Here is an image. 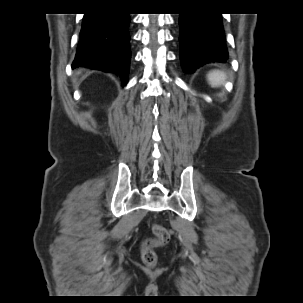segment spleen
Returning <instances> with one entry per match:
<instances>
[{
    "label": "spleen",
    "mask_w": 303,
    "mask_h": 303,
    "mask_svg": "<svg viewBox=\"0 0 303 303\" xmlns=\"http://www.w3.org/2000/svg\"><path fill=\"white\" fill-rule=\"evenodd\" d=\"M207 79L212 87H218L223 84L226 79V75L222 71L213 70L207 75Z\"/></svg>",
    "instance_id": "1"
}]
</instances>
